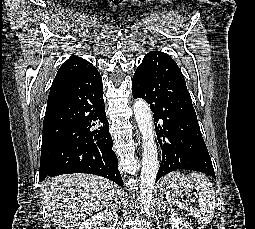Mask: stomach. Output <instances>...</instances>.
<instances>
[{
    "label": "stomach",
    "instance_id": "0dacf381",
    "mask_svg": "<svg viewBox=\"0 0 255 229\" xmlns=\"http://www.w3.org/2000/svg\"><path fill=\"white\" fill-rule=\"evenodd\" d=\"M194 187V180L180 172H172L161 179L159 189L169 198L189 194Z\"/></svg>",
    "mask_w": 255,
    "mask_h": 229
}]
</instances>
